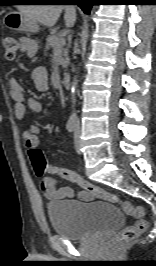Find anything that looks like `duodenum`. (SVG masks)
I'll return each mask as SVG.
<instances>
[{"label":"duodenum","mask_w":156,"mask_h":266,"mask_svg":"<svg viewBox=\"0 0 156 266\" xmlns=\"http://www.w3.org/2000/svg\"><path fill=\"white\" fill-rule=\"evenodd\" d=\"M62 84L68 88L71 85V76L70 74L66 73L62 76Z\"/></svg>","instance_id":"410a0bca"}]
</instances>
